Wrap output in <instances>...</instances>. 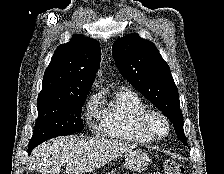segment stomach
I'll list each match as a JSON object with an SVG mask.
<instances>
[{
  "label": "stomach",
  "mask_w": 224,
  "mask_h": 174,
  "mask_svg": "<svg viewBox=\"0 0 224 174\" xmlns=\"http://www.w3.org/2000/svg\"><path fill=\"white\" fill-rule=\"evenodd\" d=\"M150 161L147 152L137 149L125 154L124 167L131 171H141L145 169Z\"/></svg>",
  "instance_id": "obj_1"
}]
</instances>
